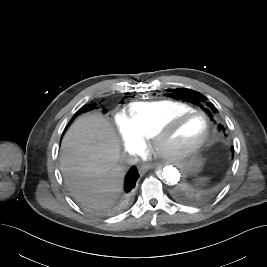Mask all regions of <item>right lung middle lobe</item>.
Wrapping results in <instances>:
<instances>
[{"label":"right lung middle lobe","instance_id":"right-lung-middle-lobe-1","mask_svg":"<svg viewBox=\"0 0 267 267\" xmlns=\"http://www.w3.org/2000/svg\"><path fill=\"white\" fill-rule=\"evenodd\" d=\"M96 108V104H92L91 106H89V107H84L83 108V110H82V112H86V111H90V110H93V109H95Z\"/></svg>","mask_w":267,"mask_h":267}]
</instances>
